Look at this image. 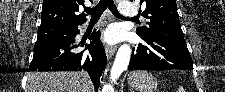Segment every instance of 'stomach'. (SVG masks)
I'll return each instance as SVG.
<instances>
[{
    "instance_id": "0dacf381",
    "label": "stomach",
    "mask_w": 225,
    "mask_h": 92,
    "mask_svg": "<svg viewBox=\"0 0 225 92\" xmlns=\"http://www.w3.org/2000/svg\"><path fill=\"white\" fill-rule=\"evenodd\" d=\"M129 85L138 92H154L157 88L156 78L147 71H134L129 76Z\"/></svg>"
}]
</instances>
